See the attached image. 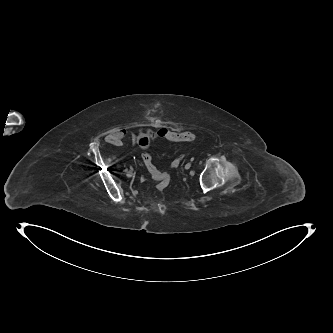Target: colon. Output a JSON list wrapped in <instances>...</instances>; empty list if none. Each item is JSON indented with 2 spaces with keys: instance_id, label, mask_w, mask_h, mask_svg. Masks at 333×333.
Listing matches in <instances>:
<instances>
[{
  "instance_id": "5ec220e1",
  "label": "colon",
  "mask_w": 333,
  "mask_h": 333,
  "mask_svg": "<svg viewBox=\"0 0 333 333\" xmlns=\"http://www.w3.org/2000/svg\"><path fill=\"white\" fill-rule=\"evenodd\" d=\"M159 135L171 142L187 141L192 142L196 140V135L192 132H174L166 129H160ZM142 161L151 175L156 181V188L158 191H166L170 186V176L166 173L161 172L152 162L150 153L144 152L142 154Z\"/></svg>"
}]
</instances>
